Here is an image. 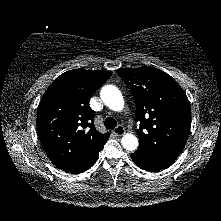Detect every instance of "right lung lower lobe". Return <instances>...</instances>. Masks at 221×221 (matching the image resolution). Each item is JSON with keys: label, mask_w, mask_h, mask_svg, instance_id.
<instances>
[{"label": "right lung lower lobe", "mask_w": 221, "mask_h": 221, "mask_svg": "<svg viewBox=\"0 0 221 221\" xmlns=\"http://www.w3.org/2000/svg\"><path fill=\"white\" fill-rule=\"evenodd\" d=\"M104 146V145H103ZM103 146L99 148L87 161H85L82 165H80L78 168L75 170L71 171L72 174H79L87 169H89L97 160L99 151L102 150Z\"/></svg>", "instance_id": "98d812e1"}]
</instances>
